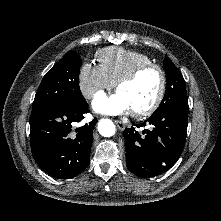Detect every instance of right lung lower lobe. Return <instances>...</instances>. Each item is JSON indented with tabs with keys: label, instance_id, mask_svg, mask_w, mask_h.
<instances>
[{
	"label": "right lung lower lobe",
	"instance_id": "obj_1",
	"mask_svg": "<svg viewBox=\"0 0 221 221\" xmlns=\"http://www.w3.org/2000/svg\"><path fill=\"white\" fill-rule=\"evenodd\" d=\"M88 112L86 101L80 105L64 104L30 121L33 158L48 175L71 179L88 166L97 119L75 130L73 127Z\"/></svg>",
	"mask_w": 221,
	"mask_h": 221
}]
</instances>
